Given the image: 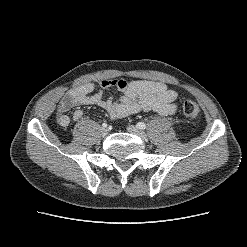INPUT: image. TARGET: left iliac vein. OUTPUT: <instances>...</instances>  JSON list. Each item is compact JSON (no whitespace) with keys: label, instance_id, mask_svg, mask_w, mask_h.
Here are the masks:
<instances>
[{"label":"left iliac vein","instance_id":"1","mask_svg":"<svg viewBox=\"0 0 247 247\" xmlns=\"http://www.w3.org/2000/svg\"><path fill=\"white\" fill-rule=\"evenodd\" d=\"M127 130H128V132L139 136L143 140H146L147 139L146 133L144 131L138 129L137 127L133 126V125H129L127 127Z\"/></svg>","mask_w":247,"mask_h":247}]
</instances>
